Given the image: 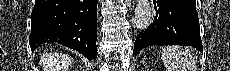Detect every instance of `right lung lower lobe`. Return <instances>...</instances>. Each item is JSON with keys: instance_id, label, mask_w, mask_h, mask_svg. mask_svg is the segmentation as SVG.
<instances>
[{"instance_id": "right-lung-lower-lobe-1", "label": "right lung lower lobe", "mask_w": 230, "mask_h": 71, "mask_svg": "<svg viewBox=\"0 0 230 71\" xmlns=\"http://www.w3.org/2000/svg\"><path fill=\"white\" fill-rule=\"evenodd\" d=\"M97 0H36L31 14V50L59 43L89 60L97 57Z\"/></svg>"}]
</instances>
